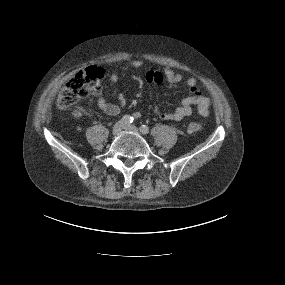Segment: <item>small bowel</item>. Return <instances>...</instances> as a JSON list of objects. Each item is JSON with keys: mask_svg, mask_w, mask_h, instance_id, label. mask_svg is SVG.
I'll list each match as a JSON object with an SVG mask.
<instances>
[{"mask_svg": "<svg viewBox=\"0 0 285 285\" xmlns=\"http://www.w3.org/2000/svg\"><path fill=\"white\" fill-rule=\"evenodd\" d=\"M143 61L133 60L130 62V68H140L143 66ZM184 76L181 73H177L170 68H164L161 72L159 71H149L146 74V82L149 84H160L164 80L172 84H177L184 81ZM119 80V75L117 73H111L110 81L112 83H117ZM186 85L189 91L187 97L182 100V103L173 111H164L161 109H156V115L162 120L169 121H180L192 114L193 107L196 106L198 112L201 116L206 117L209 115L210 99L203 95L198 87L197 80L194 77H188L186 80ZM120 105L124 106L126 104V98L123 94H119ZM98 107L104 113L114 116L120 112V106L108 102L102 95L98 98ZM140 113H135L134 117L139 118Z\"/></svg>", "mask_w": 285, "mask_h": 285, "instance_id": "small-bowel-1", "label": "small bowel"}]
</instances>
